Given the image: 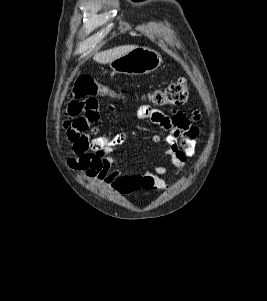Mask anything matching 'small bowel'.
<instances>
[{
    "instance_id": "obj_1",
    "label": "small bowel",
    "mask_w": 267,
    "mask_h": 301,
    "mask_svg": "<svg viewBox=\"0 0 267 301\" xmlns=\"http://www.w3.org/2000/svg\"><path fill=\"white\" fill-rule=\"evenodd\" d=\"M107 113H113L114 107L108 105ZM69 118L64 122L66 135L72 143L74 157L69 160V166L82 171L87 178L109 185L119 194H131L140 190L165 191L169 188L163 175L167 172L165 165H158L154 171L141 173H123L112 169L114 163L113 151L124 143L123 134L115 137L100 136L95 124L100 119V106L97 98L73 99L67 107ZM197 113L188 116L180 110H174L170 115L147 105L137 109V117L159 126L167 132L166 136L153 135L151 142H164L167 145L166 154L170 158L174 174L183 171L186 162L196 156V139L200 133L195 125Z\"/></svg>"
}]
</instances>
